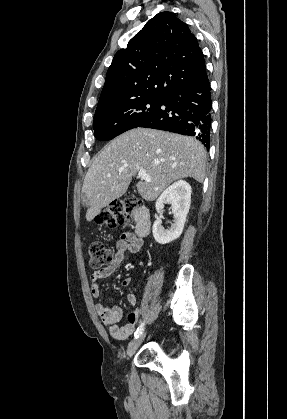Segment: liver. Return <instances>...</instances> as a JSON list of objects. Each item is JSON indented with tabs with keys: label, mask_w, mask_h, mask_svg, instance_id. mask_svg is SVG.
Returning <instances> with one entry per match:
<instances>
[{
	"label": "liver",
	"mask_w": 287,
	"mask_h": 419,
	"mask_svg": "<svg viewBox=\"0 0 287 419\" xmlns=\"http://www.w3.org/2000/svg\"><path fill=\"white\" fill-rule=\"evenodd\" d=\"M206 150L195 138L180 134L135 128L107 144L95 157L82 186L86 220L92 221L101 209L121 197L132 177L145 170L151 181L137 183L140 196L155 200L176 180L205 178Z\"/></svg>",
	"instance_id": "6515ba94"
}]
</instances>
